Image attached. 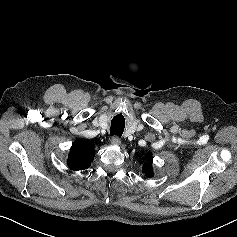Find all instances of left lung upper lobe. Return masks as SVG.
<instances>
[{
  "label": "left lung upper lobe",
  "instance_id": "left-lung-upper-lobe-1",
  "mask_svg": "<svg viewBox=\"0 0 237 237\" xmlns=\"http://www.w3.org/2000/svg\"><path fill=\"white\" fill-rule=\"evenodd\" d=\"M152 154L149 152L146 154L147 159H149V162L143 166V171L147 177L153 176V169H152Z\"/></svg>",
  "mask_w": 237,
  "mask_h": 237
}]
</instances>
